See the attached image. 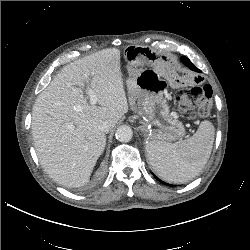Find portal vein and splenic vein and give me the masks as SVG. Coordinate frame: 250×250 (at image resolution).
<instances>
[{
  "label": "portal vein and splenic vein",
  "mask_w": 250,
  "mask_h": 250,
  "mask_svg": "<svg viewBox=\"0 0 250 250\" xmlns=\"http://www.w3.org/2000/svg\"><path fill=\"white\" fill-rule=\"evenodd\" d=\"M87 94H88V97L90 99V103L93 104V105L96 104L97 101H98V97L95 94V92L93 90H91L90 88H88Z\"/></svg>",
  "instance_id": "obj_1"
}]
</instances>
